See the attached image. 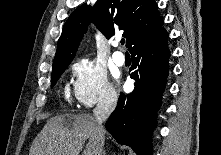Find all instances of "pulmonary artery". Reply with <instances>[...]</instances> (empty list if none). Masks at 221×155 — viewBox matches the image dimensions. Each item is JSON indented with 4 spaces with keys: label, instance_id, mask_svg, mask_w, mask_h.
Here are the masks:
<instances>
[{
    "label": "pulmonary artery",
    "instance_id": "obj_1",
    "mask_svg": "<svg viewBox=\"0 0 221 155\" xmlns=\"http://www.w3.org/2000/svg\"><path fill=\"white\" fill-rule=\"evenodd\" d=\"M118 42H115L114 45L118 46ZM112 60L117 66H122L125 63V56L120 51H115L112 55Z\"/></svg>",
    "mask_w": 221,
    "mask_h": 155
}]
</instances>
